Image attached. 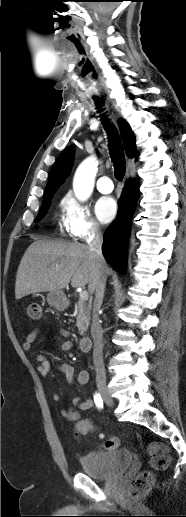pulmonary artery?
Instances as JSON below:
<instances>
[{
	"label": "pulmonary artery",
	"mask_w": 186,
	"mask_h": 517,
	"mask_svg": "<svg viewBox=\"0 0 186 517\" xmlns=\"http://www.w3.org/2000/svg\"><path fill=\"white\" fill-rule=\"evenodd\" d=\"M96 187L99 192L108 194L113 191V183L108 176H102L98 179Z\"/></svg>",
	"instance_id": "1"
}]
</instances>
